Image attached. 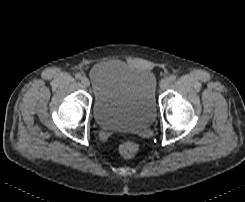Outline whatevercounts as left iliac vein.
Returning <instances> with one entry per match:
<instances>
[{
  "label": "left iliac vein",
  "mask_w": 245,
  "mask_h": 202,
  "mask_svg": "<svg viewBox=\"0 0 245 202\" xmlns=\"http://www.w3.org/2000/svg\"><path fill=\"white\" fill-rule=\"evenodd\" d=\"M169 85V80L168 79H163L161 82H160V88L162 90H165Z\"/></svg>",
  "instance_id": "obj_1"
}]
</instances>
